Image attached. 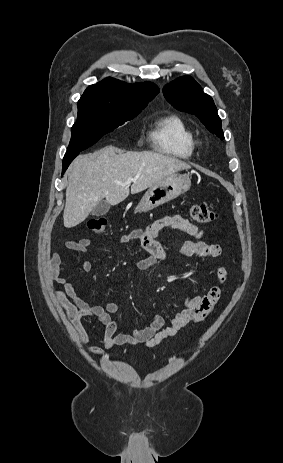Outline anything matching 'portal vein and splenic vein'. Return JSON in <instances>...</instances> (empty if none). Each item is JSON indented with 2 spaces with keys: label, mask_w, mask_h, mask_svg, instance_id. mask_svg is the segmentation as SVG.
Returning a JSON list of instances; mask_svg holds the SVG:
<instances>
[{
  "label": "portal vein and splenic vein",
  "mask_w": 283,
  "mask_h": 463,
  "mask_svg": "<svg viewBox=\"0 0 283 463\" xmlns=\"http://www.w3.org/2000/svg\"><path fill=\"white\" fill-rule=\"evenodd\" d=\"M136 180V178H128L127 179V184H130L131 182H134Z\"/></svg>",
  "instance_id": "1"
}]
</instances>
